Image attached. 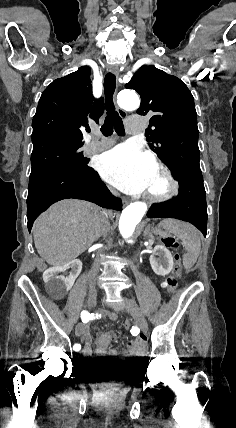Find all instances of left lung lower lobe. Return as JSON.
Returning <instances> with one entry per match:
<instances>
[{
    "instance_id": "left-lung-lower-lobe-1",
    "label": "left lung lower lobe",
    "mask_w": 236,
    "mask_h": 428,
    "mask_svg": "<svg viewBox=\"0 0 236 428\" xmlns=\"http://www.w3.org/2000/svg\"><path fill=\"white\" fill-rule=\"evenodd\" d=\"M179 182V194L170 203L154 204L149 218H176L192 223L204 236L207 234V204L203 176L200 173L172 171Z\"/></svg>"
}]
</instances>
